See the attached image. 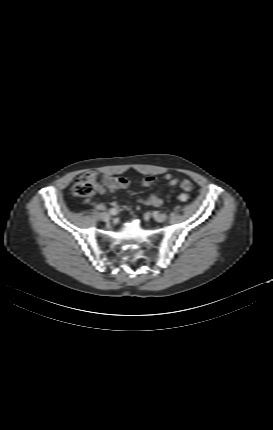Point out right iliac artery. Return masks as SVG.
Here are the masks:
<instances>
[{"instance_id": "82829eb1", "label": "right iliac artery", "mask_w": 273, "mask_h": 430, "mask_svg": "<svg viewBox=\"0 0 273 430\" xmlns=\"http://www.w3.org/2000/svg\"><path fill=\"white\" fill-rule=\"evenodd\" d=\"M110 213H111L112 215H115V214L117 213V210H116L115 208H111V209H110Z\"/></svg>"}]
</instances>
